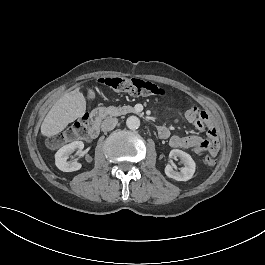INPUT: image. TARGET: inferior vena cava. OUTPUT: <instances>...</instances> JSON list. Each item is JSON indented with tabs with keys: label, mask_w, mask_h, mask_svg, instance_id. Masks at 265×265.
I'll list each match as a JSON object with an SVG mask.
<instances>
[{
	"label": "inferior vena cava",
	"mask_w": 265,
	"mask_h": 265,
	"mask_svg": "<svg viewBox=\"0 0 265 265\" xmlns=\"http://www.w3.org/2000/svg\"><path fill=\"white\" fill-rule=\"evenodd\" d=\"M118 123V119L117 118H107L105 119L102 124H101V130L102 131H110L112 129L115 128V126Z\"/></svg>",
	"instance_id": "inferior-vena-cava-1"
}]
</instances>
